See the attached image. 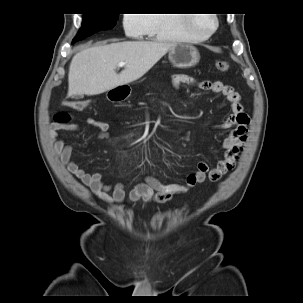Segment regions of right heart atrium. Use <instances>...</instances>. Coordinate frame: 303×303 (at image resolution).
<instances>
[{
    "mask_svg": "<svg viewBox=\"0 0 303 303\" xmlns=\"http://www.w3.org/2000/svg\"><path fill=\"white\" fill-rule=\"evenodd\" d=\"M123 19L124 29L129 37L136 38L143 35L148 26L146 14H125Z\"/></svg>",
    "mask_w": 303,
    "mask_h": 303,
    "instance_id": "1",
    "label": "right heart atrium"
}]
</instances>
